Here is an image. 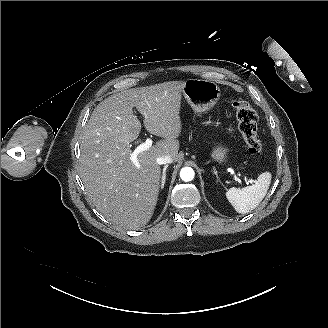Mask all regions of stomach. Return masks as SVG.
Listing matches in <instances>:
<instances>
[{
	"label": "stomach",
	"instance_id": "1",
	"mask_svg": "<svg viewBox=\"0 0 328 328\" xmlns=\"http://www.w3.org/2000/svg\"><path fill=\"white\" fill-rule=\"evenodd\" d=\"M184 97L198 117L209 113L218 103L221 91L214 81L191 79L184 83ZM230 147L216 144L210 151L211 160L218 166L229 162Z\"/></svg>",
	"mask_w": 328,
	"mask_h": 328
}]
</instances>
